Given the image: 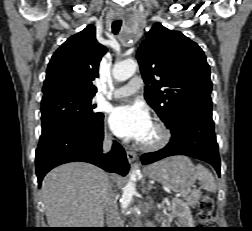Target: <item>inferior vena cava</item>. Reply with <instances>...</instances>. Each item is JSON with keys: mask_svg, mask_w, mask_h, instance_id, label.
Wrapping results in <instances>:
<instances>
[{"mask_svg": "<svg viewBox=\"0 0 252 231\" xmlns=\"http://www.w3.org/2000/svg\"><path fill=\"white\" fill-rule=\"evenodd\" d=\"M112 145V137L106 135L103 141V152H108ZM104 210L106 213L107 224L110 228H120L122 225L121 217L118 213L117 198L109 184L102 197Z\"/></svg>", "mask_w": 252, "mask_h": 231, "instance_id": "inferior-vena-cava-1", "label": "inferior vena cava"}]
</instances>
